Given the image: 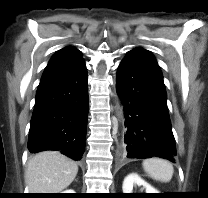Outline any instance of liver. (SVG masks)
Instances as JSON below:
<instances>
[{
	"mask_svg": "<svg viewBox=\"0 0 208 198\" xmlns=\"http://www.w3.org/2000/svg\"><path fill=\"white\" fill-rule=\"evenodd\" d=\"M78 173V165L56 151H44L27 164L25 183L30 193H59L67 188Z\"/></svg>",
	"mask_w": 208,
	"mask_h": 198,
	"instance_id": "6515ba94",
	"label": "liver"
}]
</instances>
